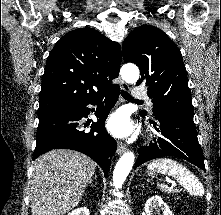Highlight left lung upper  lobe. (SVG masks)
Returning a JSON list of instances; mask_svg holds the SVG:
<instances>
[{
	"mask_svg": "<svg viewBox=\"0 0 221 215\" xmlns=\"http://www.w3.org/2000/svg\"><path fill=\"white\" fill-rule=\"evenodd\" d=\"M123 58L139 67L137 85L145 83L148 87L155 117L162 112L193 115L181 53L163 31L150 25L135 28L123 42Z\"/></svg>",
	"mask_w": 221,
	"mask_h": 215,
	"instance_id": "1",
	"label": "left lung upper lobe"
}]
</instances>
